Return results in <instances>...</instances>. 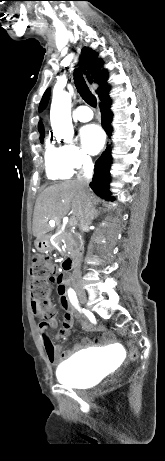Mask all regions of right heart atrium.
Listing matches in <instances>:
<instances>
[{
  "instance_id": "d8ad5b80",
  "label": "right heart atrium",
  "mask_w": 165,
  "mask_h": 461,
  "mask_svg": "<svg viewBox=\"0 0 165 461\" xmlns=\"http://www.w3.org/2000/svg\"><path fill=\"white\" fill-rule=\"evenodd\" d=\"M66 164L72 169H83L90 165V157L80 147L74 144H65L61 147Z\"/></svg>"
}]
</instances>
